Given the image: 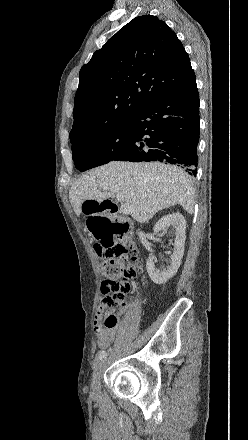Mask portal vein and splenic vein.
I'll return each instance as SVG.
<instances>
[{"label":"portal vein and splenic vein","instance_id":"obj_1","mask_svg":"<svg viewBox=\"0 0 248 440\" xmlns=\"http://www.w3.org/2000/svg\"><path fill=\"white\" fill-rule=\"evenodd\" d=\"M105 189L110 190L113 193H116L117 200L122 203L121 204V208H120V211L122 213H124V214H131L132 213L133 210L129 207V205L128 204H123L124 197L119 193L117 188H115V187H107Z\"/></svg>","mask_w":248,"mask_h":440}]
</instances>
